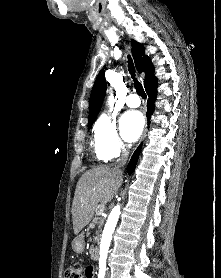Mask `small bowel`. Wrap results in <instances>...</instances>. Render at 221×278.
Wrapping results in <instances>:
<instances>
[{"mask_svg":"<svg viewBox=\"0 0 221 278\" xmlns=\"http://www.w3.org/2000/svg\"><path fill=\"white\" fill-rule=\"evenodd\" d=\"M94 274H95V269L93 266H90L89 267V271L86 275V278H93L94 277Z\"/></svg>","mask_w":221,"mask_h":278,"instance_id":"obj_1","label":"small bowel"}]
</instances>
